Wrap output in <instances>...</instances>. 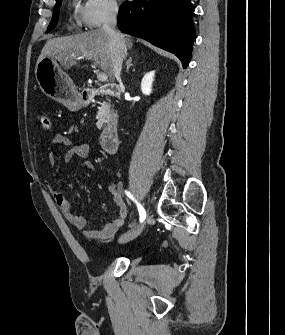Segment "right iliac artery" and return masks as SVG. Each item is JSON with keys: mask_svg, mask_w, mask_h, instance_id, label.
<instances>
[{"mask_svg": "<svg viewBox=\"0 0 285 335\" xmlns=\"http://www.w3.org/2000/svg\"><path fill=\"white\" fill-rule=\"evenodd\" d=\"M126 195L132 199L133 201H135V203L137 204V207H138V211H139V215H140V222H143L146 218V212H145V209L142 207L141 204H139L135 199L134 197L131 195L130 192L128 191H125Z\"/></svg>", "mask_w": 285, "mask_h": 335, "instance_id": "1", "label": "right iliac artery"}]
</instances>
